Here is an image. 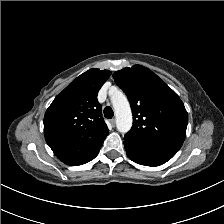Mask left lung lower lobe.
<instances>
[{
    "mask_svg": "<svg viewBox=\"0 0 224 224\" xmlns=\"http://www.w3.org/2000/svg\"><path fill=\"white\" fill-rule=\"evenodd\" d=\"M124 146L128 157L132 161L146 166L162 165L178 152L177 149L137 139L128 134L124 137Z\"/></svg>",
    "mask_w": 224,
    "mask_h": 224,
    "instance_id": "1",
    "label": "left lung lower lobe"
}]
</instances>
